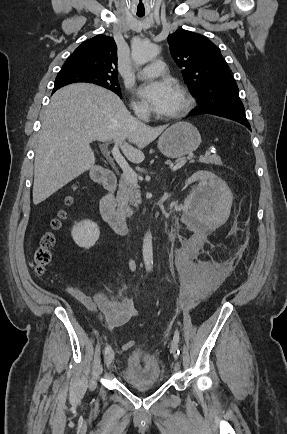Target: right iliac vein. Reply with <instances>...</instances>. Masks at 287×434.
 Segmentation results:
<instances>
[{
	"mask_svg": "<svg viewBox=\"0 0 287 434\" xmlns=\"http://www.w3.org/2000/svg\"><path fill=\"white\" fill-rule=\"evenodd\" d=\"M114 360V351L110 350L106 355H105V359H104V363L106 367H109L110 364L113 362Z\"/></svg>",
	"mask_w": 287,
	"mask_h": 434,
	"instance_id": "1",
	"label": "right iliac vein"
}]
</instances>
